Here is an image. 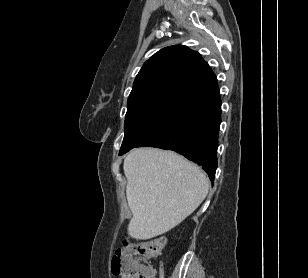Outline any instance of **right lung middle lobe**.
<instances>
[{
  "label": "right lung middle lobe",
  "mask_w": 308,
  "mask_h": 278,
  "mask_svg": "<svg viewBox=\"0 0 308 278\" xmlns=\"http://www.w3.org/2000/svg\"><path fill=\"white\" fill-rule=\"evenodd\" d=\"M176 114V112H148L125 118V135L119 155H123L158 132Z\"/></svg>",
  "instance_id": "right-lung-middle-lobe-1"
}]
</instances>
